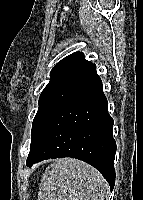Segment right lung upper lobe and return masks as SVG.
Instances as JSON below:
<instances>
[{
	"label": "right lung upper lobe",
	"instance_id": "right-lung-upper-lobe-1",
	"mask_svg": "<svg viewBox=\"0 0 143 200\" xmlns=\"http://www.w3.org/2000/svg\"><path fill=\"white\" fill-rule=\"evenodd\" d=\"M89 65H92V63L84 58L82 52H75L59 61L53 67L50 75L52 79L64 80Z\"/></svg>",
	"mask_w": 143,
	"mask_h": 200
}]
</instances>
